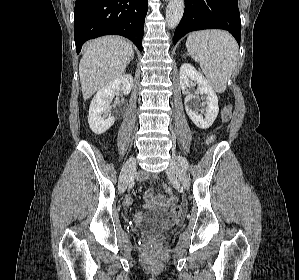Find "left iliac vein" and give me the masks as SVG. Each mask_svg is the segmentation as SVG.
Returning <instances> with one entry per match:
<instances>
[{
  "label": "left iliac vein",
  "mask_w": 299,
  "mask_h": 280,
  "mask_svg": "<svg viewBox=\"0 0 299 280\" xmlns=\"http://www.w3.org/2000/svg\"><path fill=\"white\" fill-rule=\"evenodd\" d=\"M167 174L176 176L184 188H189V177L186 171L173 159L167 169Z\"/></svg>",
  "instance_id": "1"
}]
</instances>
